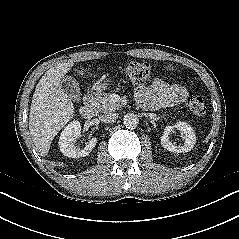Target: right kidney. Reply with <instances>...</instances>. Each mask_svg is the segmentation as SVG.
<instances>
[{
	"mask_svg": "<svg viewBox=\"0 0 239 239\" xmlns=\"http://www.w3.org/2000/svg\"><path fill=\"white\" fill-rule=\"evenodd\" d=\"M81 127L80 122L74 120L70 122L61 132L59 138L60 151L67 157L79 158L87 156L97 143L96 138H92L86 143L84 149L76 148L75 140L80 136Z\"/></svg>",
	"mask_w": 239,
	"mask_h": 239,
	"instance_id": "1",
	"label": "right kidney"
}]
</instances>
